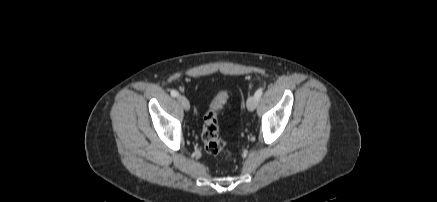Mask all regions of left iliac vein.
I'll use <instances>...</instances> for the list:
<instances>
[{"label": "left iliac vein", "instance_id": "4c4485c4", "mask_svg": "<svg viewBox=\"0 0 437 202\" xmlns=\"http://www.w3.org/2000/svg\"><path fill=\"white\" fill-rule=\"evenodd\" d=\"M257 102H258V99H256L255 96L249 97L248 100H247V104H246L247 105V109L249 111H254L256 106H257Z\"/></svg>", "mask_w": 437, "mask_h": 202}]
</instances>
